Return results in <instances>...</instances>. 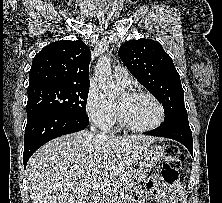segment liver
I'll use <instances>...</instances> for the list:
<instances>
[{"mask_svg": "<svg viewBox=\"0 0 222 203\" xmlns=\"http://www.w3.org/2000/svg\"><path fill=\"white\" fill-rule=\"evenodd\" d=\"M156 140L144 135L99 138L89 131L51 140L26 167L32 203H85L94 182L116 181Z\"/></svg>", "mask_w": 222, "mask_h": 203, "instance_id": "liver-1", "label": "liver"}]
</instances>
